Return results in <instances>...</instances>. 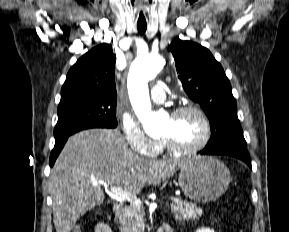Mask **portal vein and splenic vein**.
I'll list each match as a JSON object with an SVG mask.
<instances>
[{"instance_id":"obj_1","label":"portal vein and splenic vein","mask_w":289,"mask_h":232,"mask_svg":"<svg viewBox=\"0 0 289 232\" xmlns=\"http://www.w3.org/2000/svg\"><path fill=\"white\" fill-rule=\"evenodd\" d=\"M98 184L99 183H97V182L93 183L94 186H98ZM102 184L104 185V187L108 188L111 193L119 196L120 198H122L124 200H127V201H130L132 204L137 205V206H141L142 205L141 200L138 199L136 197V195H133V194L129 193L128 191L124 190L122 187H119V186H111V187H109L105 183H102ZM171 201L177 203V202L180 201V199L177 198V197H171Z\"/></svg>"}]
</instances>
